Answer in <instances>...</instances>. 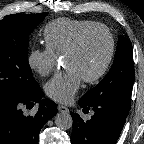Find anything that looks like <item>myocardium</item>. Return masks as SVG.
<instances>
[{
	"instance_id": "1",
	"label": "myocardium",
	"mask_w": 144,
	"mask_h": 144,
	"mask_svg": "<svg viewBox=\"0 0 144 144\" xmlns=\"http://www.w3.org/2000/svg\"><path fill=\"white\" fill-rule=\"evenodd\" d=\"M95 30H101L104 31L108 37L109 40V50H108V54L107 57L105 59V62L103 63L102 67L92 76L90 77H86L84 78V81L86 83H94L96 81H98L99 79H101L105 73L107 72V70L109 69L112 60L114 58L115 55V38L114 35L111 31V29L106 26L105 24H101V23H96L94 25L88 26L84 29H82L77 36L75 37V39L73 40V42L71 43V45L69 46V48L67 49V51L64 53V56H68L73 54L74 52H76L79 47L81 46L84 38L92 31Z\"/></svg>"
}]
</instances>
